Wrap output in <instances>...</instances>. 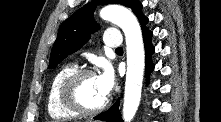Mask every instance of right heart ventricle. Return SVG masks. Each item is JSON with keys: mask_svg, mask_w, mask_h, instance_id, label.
Here are the masks:
<instances>
[{"mask_svg": "<svg viewBox=\"0 0 221 122\" xmlns=\"http://www.w3.org/2000/svg\"><path fill=\"white\" fill-rule=\"evenodd\" d=\"M75 69H77L76 65L67 64L62 68H60L58 72L55 74L54 78L52 79L47 94V111L50 117L53 119L64 120L78 116L77 113L64 107L59 97V88L62 81L65 79L67 75H69Z\"/></svg>", "mask_w": 221, "mask_h": 122, "instance_id": "obj_1", "label": "right heart ventricle"}]
</instances>
